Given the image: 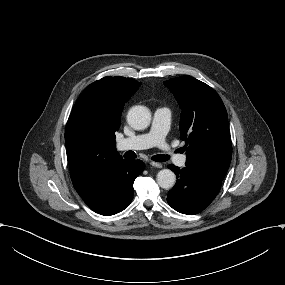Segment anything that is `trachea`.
Listing matches in <instances>:
<instances>
[{"label": "trachea", "instance_id": "1", "mask_svg": "<svg viewBox=\"0 0 285 285\" xmlns=\"http://www.w3.org/2000/svg\"><path fill=\"white\" fill-rule=\"evenodd\" d=\"M151 159L153 161H156V162H165V161L169 160V156L168 155L159 154V155L152 156Z\"/></svg>", "mask_w": 285, "mask_h": 285}]
</instances>
